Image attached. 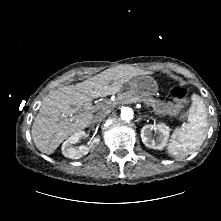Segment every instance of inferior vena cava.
I'll return each mask as SVG.
<instances>
[{
  "label": "inferior vena cava",
  "mask_w": 221,
  "mask_h": 221,
  "mask_svg": "<svg viewBox=\"0 0 221 221\" xmlns=\"http://www.w3.org/2000/svg\"><path fill=\"white\" fill-rule=\"evenodd\" d=\"M109 113H110V110H108V109L100 110V111L97 112L96 115L94 116V120H95L96 122H100V121H102V120L106 117V115L109 114Z\"/></svg>",
  "instance_id": "1"
}]
</instances>
